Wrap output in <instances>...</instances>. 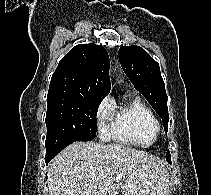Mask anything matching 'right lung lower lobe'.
I'll list each match as a JSON object with an SVG mask.
<instances>
[{
    "instance_id": "1",
    "label": "right lung lower lobe",
    "mask_w": 211,
    "mask_h": 195,
    "mask_svg": "<svg viewBox=\"0 0 211 195\" xmlns=\"http://www.w3.org/2000/svg\"><path fill=\"white\" fill-rule=\"evenodd\" d=\"M73 142H68L65 144H62L60 146H57L49 151H46V156H45V162L46 164L52 160L61 150H63L66 146H68L69 144H71Z\"/></svg>"
}]
</instances>
